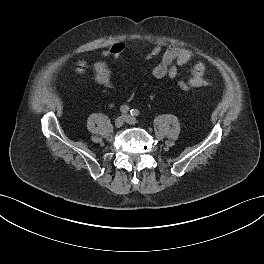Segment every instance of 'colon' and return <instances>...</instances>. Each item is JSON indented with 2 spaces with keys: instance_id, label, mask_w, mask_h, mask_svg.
<instances>
[{
  "instance_id": "colon-1",
  "label": "colon",
  "mask_w": 264,
  "mask_h": 264,
  "mask_svg": "<svg viewBox=\"0 0 264 264\" xmlns=\"http://www.w3.org/2000/svg\"><path fill=\"white\" fill-rule=\"evenodd\" d=\"M126 44L122 41H117L107 47L103 52V57L108 59H118L120 55L125 51ZM161 44L153 45L146 53L147 60H153L161 55ZM178 88L182 91H190L194 88L191 82L188 80H181L178 82Z\"/></svg>"
}]
</instances>
